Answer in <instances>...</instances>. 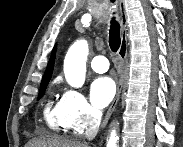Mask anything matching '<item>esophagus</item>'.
Wrapping results in <instances>:
<instances>
[{
	"mask_svg": "<svg viewBox=\"0 0 183 147\" xmlns=\"http://www.w3.org/2000/svg\"><path fill=\"white\" fill-rule=\"evenodd\" d=\"M119 8H120V16H121V45H120V48L118 51V56L120 58V63H121L122 69H123L125 61H126V57H127V15H126V11H125V1L124 0H119ZM122 86H123V74L121 72L120 78L117 82L116 95L104 117L101 127L106 126L111 114L113 113V111L119 101L121 91H122Z\"/></svg>",
	"mask_w": 183,
	"mask_h": 147,
	"instance_id": "obj_1",
	"label": "esophagus"
}]
</instances>
